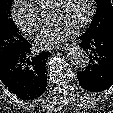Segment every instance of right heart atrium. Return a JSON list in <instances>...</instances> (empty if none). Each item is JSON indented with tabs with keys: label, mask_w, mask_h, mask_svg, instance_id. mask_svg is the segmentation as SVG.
Here are the masks:
<instances>
[{
	"label": "right heart atrium",
	"mask_w": 113,
	"mask_h": 113,
	"mask_svg": "<svg viewBox=\"0 0 113 113\" xmlns=\"http://www.w3.org/2000/svg\"><path fill=\"white\" fill-rule=\"evenodd\" d=\"M11 16L18 29L26 34L35 33L41 24L40 13L28 1L13 0Z\"/></svg>",
	"instance_id": "1"
}]
</instances>
